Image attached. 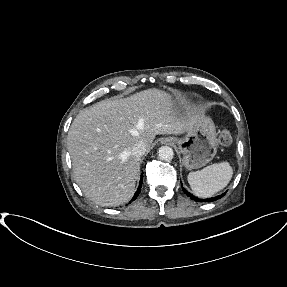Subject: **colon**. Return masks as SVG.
I'll return each mask as SVG.
<instances>
[{"label": "colon", "mask_w": 287, "mask_h": 287, "mask_svg": "<svg viewBox=\"0 0 287 287\" xmlns=\"http://www.w3.org/2000/svg\"><path fill=\"white\" fill-rule=\"evenodd\" d=\"M232 141H233V137L230 131L227 129H223L219 134V142L223 146H229L232 143Z\"/></svg>", "instance_id": "colon-1"}]
</instances>
